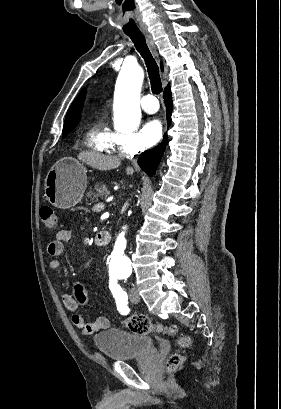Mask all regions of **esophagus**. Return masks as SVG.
Listing matches in <instances>:
<instances>
[{"mask_svg":"<svg viewBox=\"0 0 281 409\" xmlns=\"http://www.w3.org/2000/svg\"><path fill=\"white\" fill-rule=\"evenodd\" d=\"M143 33H144V36L146 37V40L148 42V45H149L151 51L153 52L155 57H158V52H157V49H156V46L154 44V41H153V38H152L151 34L148 31H143Z\"/></svg>","mask_w":281,"mask_h":409,"instance_id":"esophagus-1","label":"esophagus"}]
</instances>
